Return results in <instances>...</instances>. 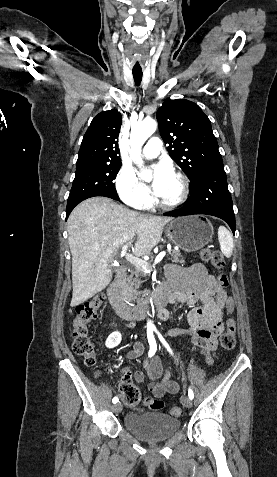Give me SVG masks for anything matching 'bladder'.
I'll return each mask as SVG.
<instances>
[{
	"mask_svg": "<svg viewBox=\"0 0 277 477\" xmlns=\"http://www.w3.org/2000/svg\"><path fill=\"white\" fill-rule=\"evenodd\" d=\"M124 426L136 437L146 441H161L176 433L179 419L162 412H130L124 417Z\"/></svg>",
	"mask_w": 277,
	"mask_h": 477,
	"instance_id": "bladder-1",
	"label": "bladder"
}]
</instances>
